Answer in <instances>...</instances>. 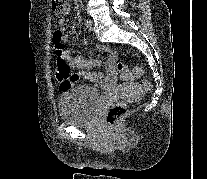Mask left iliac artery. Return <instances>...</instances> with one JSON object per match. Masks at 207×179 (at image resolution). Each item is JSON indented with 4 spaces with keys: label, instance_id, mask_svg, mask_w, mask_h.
Returning a JSON list of instances; mask_svg holds the SVG:
<instances>
[{
    "label": "left iliac artery",
    "instance_id": "1",
    "mask_svg": "<svg viewBox=\"0 0 207 179\" xmlns=\"http://www.w3.org/2000/svg\"><path fill=\"white\" fill-rule=\"evenodd\" d=\"M85 25H87V27H88V20L85 22Z\"/></svg>",
    "mask_w": 207,
    "mask_h": 179
}]
</instances>
